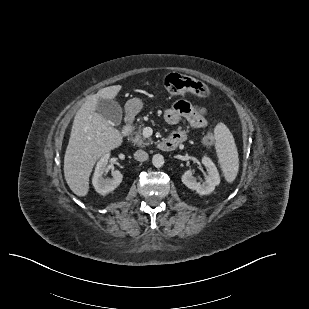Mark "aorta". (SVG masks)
Instances as JSON below:
<instances>
[{
  "mask_svg": "<svg viewBox=\"0 0 309 309\" xmlns=\"http://www.w3.org/2000/svg\"><path fill=\"white\" fill-rule=\"evenodd\" d=\"M152 163L156 168H160L164 165V157L161 154H155L152 158Z\"/></svg>",
  "mask_w": 309,
  "mask_h": 309,
  "instance_id": "1",
  "label": "aorta"
}]
</instances>
